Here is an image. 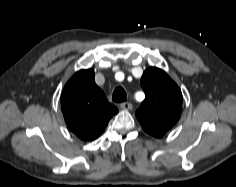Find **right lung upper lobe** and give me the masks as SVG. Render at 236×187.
Returning a JSON list of instances; mask_svg holds the SVG:
<instances>
[{
    "label": "right lung upper lobe",
    "mask_w": 236,
    "mask_h": 187,
    "mask_svg": "<svg viewBox=\"0 0 236 187\" xmlns=\"http://www.w3.org/2000/svg\"><path fill=\"white\" fill-rule=\"evenodd\" d=\"M61 107L69 130L85 141L98 138L110 118L118 113L95 84L92 69L78 71L67 82Z\"/></svg>",
    "instance_id": "obj_1"
}]
</instances>
